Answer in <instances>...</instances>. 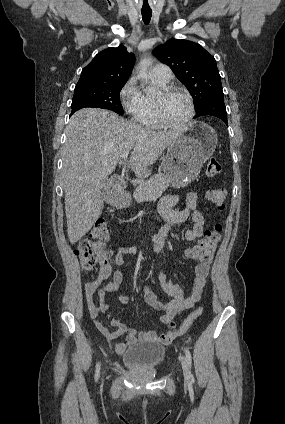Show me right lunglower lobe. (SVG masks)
I'll return each mask as SVG.
<instances>
[{
	"mask_svg": "<svg viewBox=\"0 0 285 424\" xmlns=\"http://www.w3.org/2000/svg\"><path fill=\"white\" fill-rule=\"evenodd\" d=\"M77 110H79V109H72V112H71V115L74 113V112H76Z\"/></svg>",
	"mask_w": 285,
	"mask_h": 424,
	"instance_id": "obj_1",
	"label": "right lung lower lobe"
}]
</instances>
